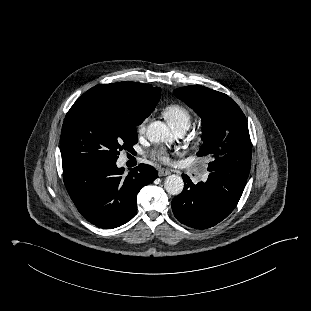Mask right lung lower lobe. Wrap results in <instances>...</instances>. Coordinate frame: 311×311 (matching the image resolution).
Listing matches in <instances>:
<instances>
[{
  "mask_svg": "<svg viewBox=\"0 0 311 311\" xmlns=\"http://www.w3.org/2000/svg\"><path fill=\"white\" fill-rule=\"evenodd\" d=\"M116 162L63 164V179L80 214L90 223L112 229L128 222L137 210L139 190L154 181V167L140 164L127 176Z\"/></svg>",
  "mask_w": 311,
  "mask_h": 311,
  "instance_id": "obj_1",
  "label": "right lung lower lobe"
}]
</instances>
